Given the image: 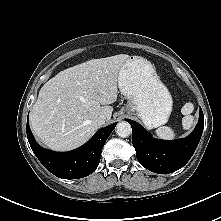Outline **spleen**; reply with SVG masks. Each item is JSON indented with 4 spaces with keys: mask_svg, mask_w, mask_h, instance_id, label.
I'll use <instances>...</instances> for the list:
<instances>
[{
    "mask_svg": "<svg viewBox=\"0 0 221 221\" xmlns=\"http://www.w3.org/2000/svg\"><path fill=\"white\" fill-rule=\"evenodd\" d=\"M193 110L194 106L190 102L186 103L181 109V113L184 115L182 118V126L185 130L191 129L194 124V117L191 115ZM155 133L158 138L165 140H172L176 137L173 129L167 126L159 127L156 129Z\"/></svg>",
    "mask_w": 221,
    "mask_h": 221,
    "instance_id": "3e777b00",
    "label": "spleen"
}]
</instances>
